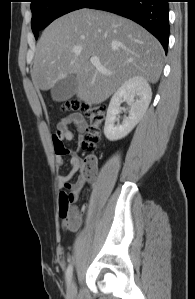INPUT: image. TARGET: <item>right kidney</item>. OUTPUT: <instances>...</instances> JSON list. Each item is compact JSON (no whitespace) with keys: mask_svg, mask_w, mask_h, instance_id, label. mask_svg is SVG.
I'll return each mask as SVG.
<instances>
[{"mask_svg":"<svg viewBox=\"0 0 195 299\" xmlns=\"http://www.w3.org/2000/svg\"><path fill=\"white\" fill-rule=\"evenodd\" d=\"M151 98V87L145 78L135 76L125 81L110 100L104 126L106 138L116 141L127 136L145 114ZM122 102L129 105V115L120 124L118 115L122 110Z\"/></svg>","mask_w":195,"mask_h":299,"instance_id":"right-kidney-1","label":"right kidney"}]
</instances>
